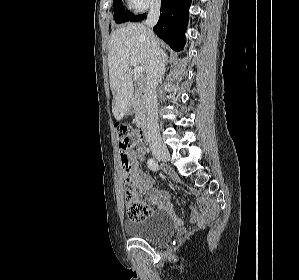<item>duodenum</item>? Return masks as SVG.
Masks as SVG:
<instances>
[{
    "instance_id": "1",
    "label": "duodenum",
    "mask_w": 299,
    "mask_h": 280,
    "mask_svg": "<svg viewBox=\"0 0 299 280\" xmlns=\"http://www.w3.org/2000/svg\"><path fill=\"white\" fill-rule=\"evenodd\" d=\"M138 137L140 140H146L148 137V128L146 124H141L138 129Z\"/></svg>"
}]
</instances>
